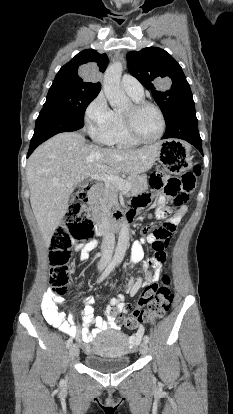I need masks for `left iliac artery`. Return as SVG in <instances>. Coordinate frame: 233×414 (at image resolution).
<instances>
[{
	"mask_svg": "<svg viewBox=\"0 0 233 414\" xmlns=\"http://www.w3.org/2000/svg\"><path fill=\"white\" fill-rule=\"evenodd\" d=\"M143 340H144L146 343H149V337H148L147 335H145V336H144Z\"/></svg>",
	"mask_w": 233,
	"mask_h": 414,
	"instance_id": "obj_1",
	"label": "left iliac artery"
}]
</instances>
